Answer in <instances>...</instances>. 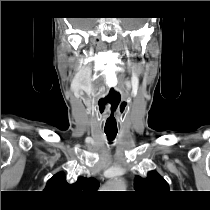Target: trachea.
Returning <instances> with one entry per match:
<instances>
[{
	"mask_svg": "<svg viewBox=\"0 0 210 210\" xmlns=\"http://www.w3.org/2000/svg\"><path fill=\"white\" fill-rule=\"evenodd\" d=\"M109 143H112V141L115 139L117 135V131H105Z\"/></svg>",
	"mask_w": 210,
	"mask_h": 210,
	"instance_id": "1",
	"label": "trachea"
}]
</instances>
